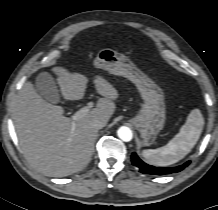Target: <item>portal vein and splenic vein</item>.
<instances>
[{
	"label": "portal vein and splenic vein",
	"mask_w": 218,
	"mask_h": 210,
	"mask_svg": "<svg viewBox=\"0 0 218 210\" xmlns=\"http://www.w3.org/2000/svg\"><path fill=\"white\" fill-rule=\"evenodd\" d=\"M92 107H93V103L89 102L86 106H84L83 108H81L80 110L74 113L73 119L76 120L82 118L91 110Z\"/></svg>",
	"instance_id": "portal-vein-and-splenic-vein-1"
}]
</instances>
